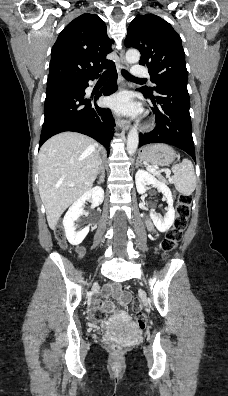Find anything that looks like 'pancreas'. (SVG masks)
Here are the masks:
<instances>
[{
    "mask_svg": "<svg viewBox=\"0 0 228 396\" xmlns=\"http://www.w3.org/2000/svg\"><path fill=\"white\" fill-rule=\"evenodd\" d=\"M154 174H156L157 175V177L162 181V182H167V180L164 178V177H162L161 175H160V173L158 172V173H154Z\"/></svg>",
    "mask_w": 228,
    "mask_h": 396,
    "instance_id": "obj_1",
    "label": "pancreas"
}]
</instances>
